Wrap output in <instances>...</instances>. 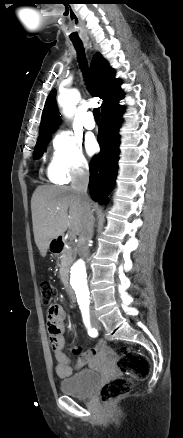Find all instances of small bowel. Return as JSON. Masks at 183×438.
Segmentation results:
<instances>
[{"label":"small bowel","mask_w":183,"mask_h":438,"mask_svg":"<svg viewBox=\"0 0 183 438\" xmlns=\"http://www.w3.org/2000/svg\"><path fill=\"white\" fill-rule=\"evenodd\" d=\"M65 316V311L60 305H52L47 311L49 341L54 357L57 361L55 371L60 378L71 376L74 370L87 364L102 348L101 345H97L89 350L81 352L79 348L73 347V352L79 355L76 364L73 365L69 357L63 352Z\"/></svg>","instance_id":"1"}]
</instances>
